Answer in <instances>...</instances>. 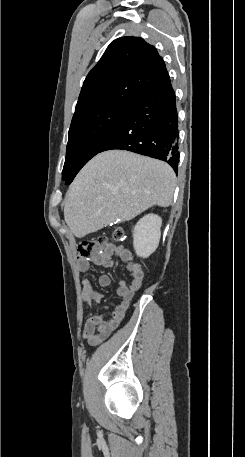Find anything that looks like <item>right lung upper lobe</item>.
I'll return each mask as SVG.
<instances>
[{"instance_id":"1","label":"right lung upper lobe","mask_w":245,"mask_h":457,"mask_svg":"<svg viewBox=\"0 0 245 457\" xmlns=\"http://www.w3.org/2000/svg\"><path fill=\"white\" fill-rule=\"evenodd\" d=\"M169 79L157 50L139 37L114 40L87 75L74 116L114 102L132 105L148 89Z\"/></svg>"}]
</instances>
